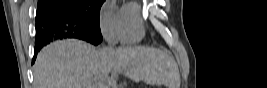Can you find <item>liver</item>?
Masks as SVG:
<instances>
[{
  "mask_svg": "<svg viewBox=\"0 0 267 88\" xmlns=\"http://www.w3.org/2000/svg\"><path fill=\"white\" fill-rule=\"evenodd\" d=\"M114 69L132 81L179 88L180 74L171 55L150 47L96 48L84 41L53 42L37 55L34 64L35 88H108L99 76ZM108 81V80H106ZM109 82V81H108Z\"/></svg>",
  "mask_w": 267,
  "mask_h": 88,
  "instance_id": "obj_1",
  "label": "liver"
}]
</instances>
